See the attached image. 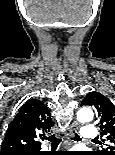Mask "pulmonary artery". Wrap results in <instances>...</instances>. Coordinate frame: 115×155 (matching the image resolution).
Listing matches in <instances>:
<instances>
[{"mask_svg":"<svg viewBox=\"0 0 115 155\" xmlns=\"http://www.w3.org/2000/svg\"><path fill=\"white\" fill-rule=\"evenodd\" d=\"M80 134L85 141H91L97 137L98 130L95 127L85 126L81 129Z\"/></svg>","mask_w":115,"mask_h":155,"instance_id":"e3ab8cb5","label":"pulmonary artery"}]
</instances>
